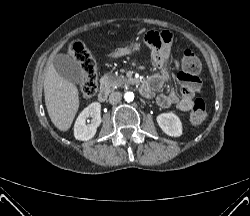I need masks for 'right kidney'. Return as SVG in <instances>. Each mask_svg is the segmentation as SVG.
Segmentation results:
<instances>
[{
	"label": "right kidney",
	"mask_w": 250,
	"mask_h": 216,
	"mask_svg": "<svg viewBox=\"0 0 250 216\" xmlns=\"http://www.w3.org/2000/svg\"><path fill=\"white\" fill-rule=\"evenodd\" d=\"M92 117L87 124V118ZM89 122V121H88ZM101 123V104L93 102L87 106L78 116L74 125V136L77 140L87 141L94 137L97 127Z\"/></svg>",
	"instance_id": "obj_1"
}]
</instances>
